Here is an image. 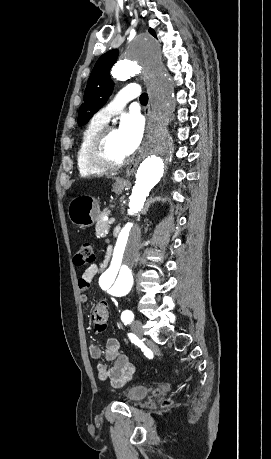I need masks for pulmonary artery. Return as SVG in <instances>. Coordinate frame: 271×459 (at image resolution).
<instances>
[{
  "instance_id": "e3ab8cb5",
  "label": "pulmonary artery",
  "mask_w": 271,
  "mask_h": 459,
  "mask_svg": "<svg viewBox=\"0 0 271 459\" xmlns=\"http://www.w3.org/2000/svg\"><path fill=\"white\" fill-rule=\"evenodd\" d=\"M127 87V89H119L118 95H114L113 101L103 107L94 116L96 121L102 124L108 123L109 119L120 112L125 104H129L130 98H137L139 96V91L136 89L138 87L137 83L130 81Z\"/></svg>"
}]
</instances>
